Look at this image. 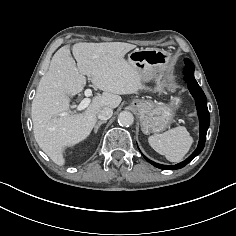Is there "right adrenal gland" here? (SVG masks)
I'll list each match as a JSON object with an SVG mask.
<instances>
[{
    "label": "right adrenal gland",
    "mask_w": 236,
    "mask_h": 236,
    "mask_svg": "<svg viewBox=\"0 0 236 236\" xmlns=\"http://www.w3.org/2000/svg\"><path fill=\"white\" fill-rule=\"evenodd\" d=\"M106 122H107L106 120H104V121H99V122L97 123V125L95 126L94 133L96 134L97 131H98V129H99V127H100L103 123H106Z\"/></svg>",
    "instance_id": "right-adrenal-gland-1"
}]
</instances>
